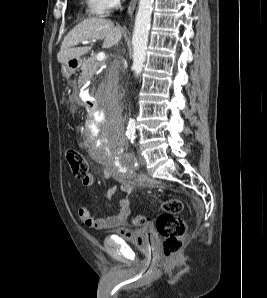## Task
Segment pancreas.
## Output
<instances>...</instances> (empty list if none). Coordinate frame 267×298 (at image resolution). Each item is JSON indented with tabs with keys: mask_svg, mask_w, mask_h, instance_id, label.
I'll list each match as a JSON object with an SVG mask.
<instances>
[{
	"mask_svg": "<svg viewBox=\"0 0 267 298\" xmlns=\"http://www.w3.org/2000/svg\"><path fill=\"white\" fill-rule=\"evenodd\" d=\"M104 63L105 61H98L96 56H93L87 59L81 67V70H82L81 79H85V80L91 79L94 73L101 66H103Z\"/></svg>",
	"mask_w": 267,
	"mask_h": 298,
	"instance_id": "pancreas-1",
	"label": "pancreas"
}]
</instances>
